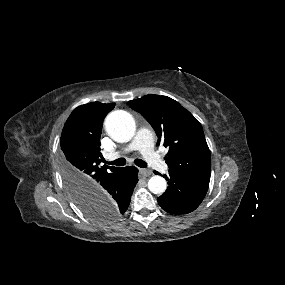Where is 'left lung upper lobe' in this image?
Here are the masks:
<instances>
[{"mask_svg": "<svg viewBox=\"0 0 285 285\" xmlns=\"http://www.w3.org/2000/svg\"><path fill=\"white\" fill-rule=\"evenodd\" d=\"M142 114L158 136L157 145L169 148V172L193 181L209 183L210 151L200 122L177 101L167 96L146 95L129 101Z\"/></svg>", "mask_w": 285, "mask_h": 285, "instance_id": "obj_1", "label": "left lung upper lobe"}]
</instances>
